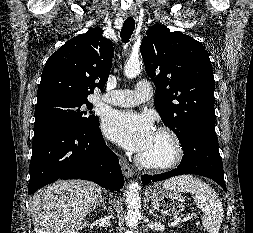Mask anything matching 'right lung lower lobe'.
<instances>
[{
  "mask_svg": "<svg viewBox=\"0 0 253 233\" xmlns=\"http://www.w3.org/2000/svg\"><path fill=\"white\" fill-rule=\"evenodd\" d=\"M32 147L29 195L58 179H85L115 191L124 185L118 157L106 146L99 123L88 130L39 125Z\"/></svg>",
  "mask_w": 253,
  "mask_h": 233,
  "instance_id": "obj_1",
  "label": "right lung lower lobe"
}]
</instances>
